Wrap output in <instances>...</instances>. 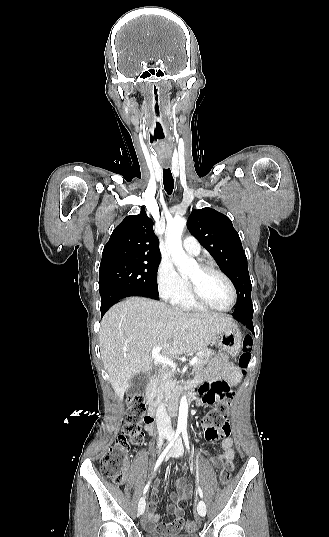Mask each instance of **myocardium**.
<instances>
[{
    "label": "myocardium",
    "mask_w": 329,
    "mask_h": 537,
    "mask_svg": "<svg viewBox=\"0 0 329 537\" xmlns=\"http://www.w3.org/2000/svg\"><path fill=\"white\" fill-rule=\"evenodd\" d=\"M198 266L202 271L215 273L224 279V281L227 283L231 291V302L229 306L226 308H217V307L210 305L209 303H207L204 299L200 297V295L196 292L195 287L192 284V282L188 280V292H189L191 299L203 309L213 310L217 312H228L232 310L237 302V291L232 280L223 271H221L220 269H218L217 267L213 265L202 263V264H199Z\"/></svg>",
    "instance_id": "obj_1"
}]
</instances>
